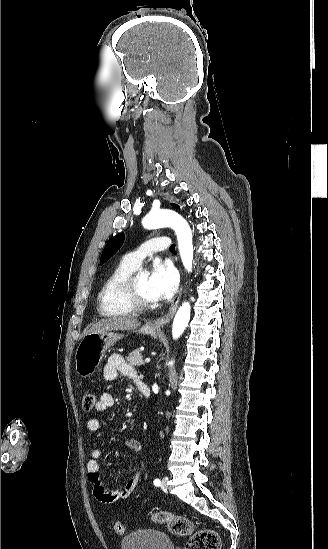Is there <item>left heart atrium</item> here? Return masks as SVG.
Returning <instances> with one entry per match:
<instances>
[{
	"label": "left heart atrium",
	"instance_id": "1",
	"mask_svg": "<svg viewBox=\"0 0 328 549\" xmlns=\"http://www.w3.org/2000/svg\"><path fill=\"white\" fill-rule=\"evenodd\" d=\"M179 285V276L175 267L169 262L157 264L150 273V295L160 301L172 297Z\"/></svg>",
	"mask_w": 328,
	"mask_h": 549
}]
</instances>
